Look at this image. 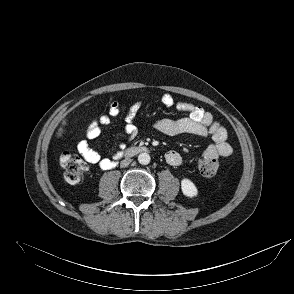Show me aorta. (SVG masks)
<instances>
[{"label": "aorta", "mask_w": 294, "mask_h": 294, "mask_svg": "<svg viewBox=\"0 0 294 294\" xmlns=\"http://www.w3.org/2000/svg\"><path fill=\"white\" fill-rule=\"evenodd\" d=\"M151 157L148 153H140L138 156V161L142 165H147L150 163Z\"/></svg>", "instance_id": "obj_1"}]
</instances>
